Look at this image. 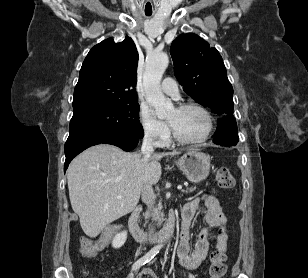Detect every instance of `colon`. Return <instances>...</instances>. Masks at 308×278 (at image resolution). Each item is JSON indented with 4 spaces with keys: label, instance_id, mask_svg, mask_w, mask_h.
Here are the masks:
<instances>
[{
    "label": "colon",
    "instance_id": "1",
    "mask_svg": "<svg viewBox=\"0 0 308 278\" xmlns=\"http://www.w3.org/2000/svg\"><path fill=\"white\" fill-rule=\"evenodd\" d=\"M216 183L221 189H230L234 185V178L226 168L218 170ZM122 232L121 226L105 227L98 238L82 237L80 239V249L87 257L96 256L102 247H112L114 237H118ZM225 233V229H220L219 234ZM226 255L220 250H215L210 255L209 278H223L226 273Z\"/></svg>",
    "mask_w": 308,
    "mask_h": 278
}]
</instances>
